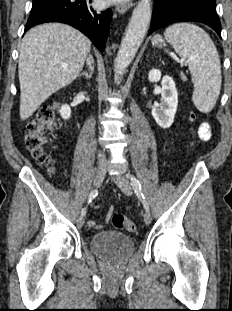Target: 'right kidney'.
<instances>
[{"instance_id": "ca27d5eb", "label": "right kidney", "mask_w": 232, "mask_h": 311, "mask_svg": "<svg viewBox=\"0 0 232 311\" xmlns=\"http://www.w3.org/2000/svg\"><path fill=\"white\" fill-rule=\"evenodd\" d=\"M60 114L62 116L63 119L67 120L70 118L71 116V109L69 107V105H63L60 109Z\"/></svg>"}]
</instances>
